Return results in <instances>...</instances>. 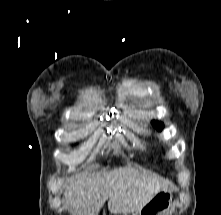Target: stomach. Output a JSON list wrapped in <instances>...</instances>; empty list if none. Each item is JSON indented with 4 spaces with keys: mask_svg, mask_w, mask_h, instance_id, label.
I'll return each mask as SVG.
<instances>
[{
    "mask_svg": "<svg viewBox=\"0 0 221 215\" xmlns=\"http://www.w3.org/2000/svg\"><path fill=\"white\" fill-rule=\"evenodd\" d=\"M172 204L170 190H162L156 193L139 211L132 215H164ZM127 215V214H122Z\"/></svg>",
    "mask_w": 221,
    "mask_h": 215,
    "instance_id": "0dacf381",
    "label": "stomach"
}]
</instances>
